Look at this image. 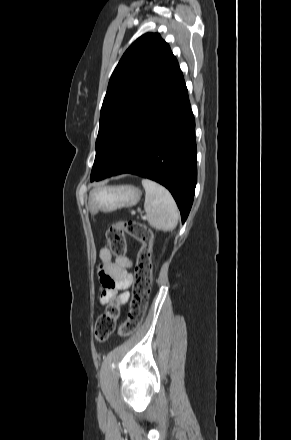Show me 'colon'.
<instances>
[{"label":"colon","mask_w":291,"mask_h":440,"mask_svg":"<svg viewBox=\"0 0 291 440\" xmlns=\"http://www.w3.org/2000/svg\"><path fill=\"white\" fill-rule=\"evenodd\" d=\"M125 231L141 243V248L138 252L134 271L135 283L131 308L127 320L119 328L121 336L132 334L142 323L152 286V234L149 229L137 222L125 220L114 222L109 226L106 236L110 250L115 257L126 255ZM106 286L109 288L114 287L113 281L108 280ZM118 315L119 303L113 297L95 322L94 335L98 341L103 342L111 335Z\"/></svg>","instance_id":"5ec220e1"}]
</instances>
